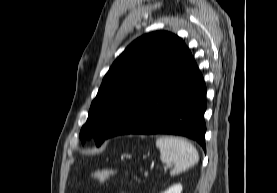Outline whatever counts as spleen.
<instances>
[{"instance_id":"spleen-1","label":"spleen","mask_w":277,"mask_h":193,"mask_svg":"<svg viewBox=\"0 0 277 193\" xmlns=\"http://www.w3.org/2000/svg\"><path fill=\"white\" fill-rule=\"evenodd\" d=\"M156 146L160 150V159L163 163H174L171 176L180 174L199 160L196 148L184 138L163 136L156 140Z\"/></svg>"}]
</instances>
